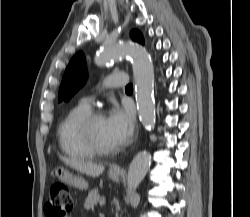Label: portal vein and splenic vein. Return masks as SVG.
Instances as JSON below:
<instances>
[{
	"label": "portal vein and splenic vein",
	"mask_w": 250,
	"mask_h": 217,
	"mask_svg": "<svg viewBox=\"0 0 250 217\" xmlns=\"http://www.w3.org/2000/svg\"><path fill=\"white\" fill-rule=\"evenodd\" d=\"M99 204H100V206H104L105 205V199H101Z\"/></svg>",
	"instance_id": "18ae733b"
}]
</instances>
